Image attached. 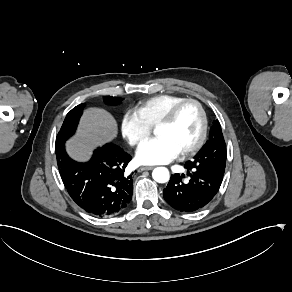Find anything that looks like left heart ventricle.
<instances>
[{
  "mask_svg": "<svg viewBox=\"0 0 292 292\" xmlns=\"http://www.w3.org/2000/svg\"><path fill=\"white\" fill-rule=\"evenodd\" d=\"M199 130L200 115L192 104L181 107L170 123L154 127L156 135L171 139L181 151L196 141Z\"/></svg>",
  "mask_w": 292,
  "mask_h": 292,
  "instance_id": "left-heart-ventricle-1",
  "label": "left heart ventricle"
}]
</instances>
